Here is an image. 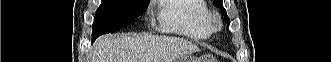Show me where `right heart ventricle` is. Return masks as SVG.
Returning a JSON list of instances; mask_svg holds the SVG:
<instances>
[{"mask_svg":"<svg viewBox=\"0 0 331 62\" xmlns=\"http://www.w3.org/2000/svg\"><path fill=\"white\" fill-rule=\"evenodd\" d=\"M209 9L202 0H162L159 6L160 27L194 40L211 36Z\"/></svg>","mask_w":331,"mask_h":62,"instance_id":"obj_1","label":"right heart ventricle"}]
</instances>
